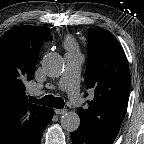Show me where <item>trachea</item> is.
Masks as SVG:
<instances>
[{"mask_svg":"<svg viewBox=\"0 0 144 144\" xmlns=\"http://www.w3.org/2000/svg\"><path fill=\"white\" fill-rule=\"evenodd\" d=\"M29 100L31 103H38L44 106H54L57 109H62L64 107V100L61 97H54L53 95H47L42 99L30 97Z\"/></svg>","mask_w":144,"mask_h":144,"instance_id":"3493384b","label":"trachea"}]
</instances>
